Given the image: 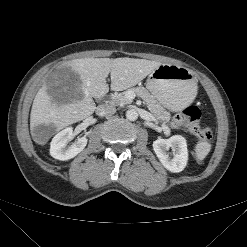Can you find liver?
Returning a JSON list of instances; mask_svg holds the SVG:
<instances>
[{"label":"liver","instance_id":"obj_1","mask_svg":"<svg viewBox=\"0 0 247 247\" xmlns=\"http://www.w3.org/2000/svg\"><path fill=\"white\" fill-rule=\"evenodd\" d=\"M161 63L135 58H81L65 62L79 75V97L63 104H57L47 93L46 85L37 92L31 113L30 127L51 125L56 131L90 116L96 109L94 98H100L109 91L106 78L110 74L113 91H122L135 86Z\"/></svg>","mask_w":247,"mask_h":247}]
</instances>
